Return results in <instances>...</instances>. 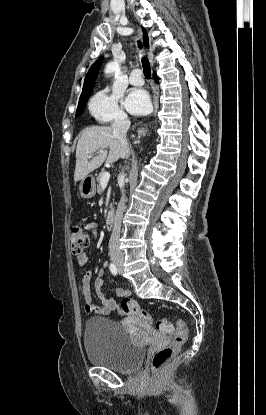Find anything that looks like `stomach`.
Returning a JSON list of instances; mask_svg holds the SVG:
<instances>
[{
    "mask_svg": "<svg viewBox=\"0 0 266 415\" xmlns=\"http://www.w3.org/2000/svg\"><path fill=\"white\" fill-rule=\"evenodd\" d=\"M80 195L84 199L92 198L95 195V179L91 175H87L81 180L80 186Z\"/></svg>",
    "mask_w": 266,
    "mask_h": 415,
    "instance_id": "stomach-1",
    "label": "stomach"
}]
</instances>
